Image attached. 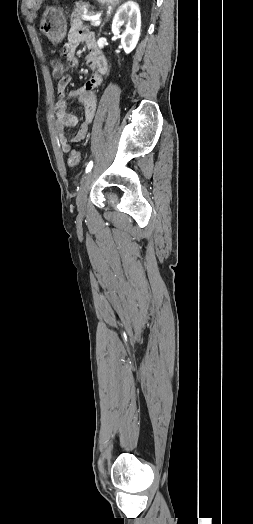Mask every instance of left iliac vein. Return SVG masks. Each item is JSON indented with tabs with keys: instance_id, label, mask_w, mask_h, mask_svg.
Here are the masks:
<instances>
[{
	"instance_id": "left-iliac-vein-1",
	"label": "left iliac vein",
	"mask_w": 253,
	"mask_h": 524,
	"mask_svg": "<svg viewBox=\"0 0 253 524\" xmlns=\"http://www.w3.org/2000/svg\"><path fill=\"white\" fill-rule=\"evenodd\" d=\"M92 179L93 171H90L81 182L80 190L76 199L77 208L80 213H84L86 210L87 195L91 187Z\"/></svg>"
}]
</instances>
